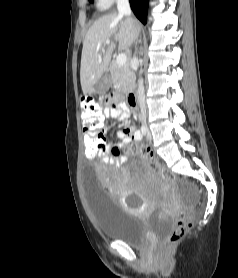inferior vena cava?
I'll list each match as a JSON object with an SVG mask.
<instances>
[{
  "instance_id": "obj_1",
  "label": "inferior vena cava",
  "mask_w": 238,
  "mask_h": 278,
  "mask_svg": "<svg viewBox=\"0 0 238 278\" xmlns=\"http://www.w3.org/2000/svg\"><path fill=\"white\" fill-rule=\"evenodd\" d=\"M117 1V8L120 15H131V9L130 4L128 0H116ZM134 61L136 64H138V60L136 57H134ZM138 101L140 105L141 110V116L143 121H146V103H145V94H144V85H143V79H139L138 81Z\"/></svg>"
}]
</instances>
